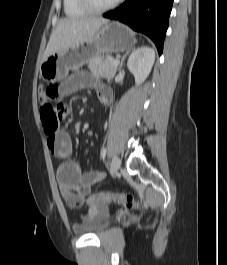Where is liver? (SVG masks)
<instances>
[{
	"label": "liver",
	"instance_id": "obj_1",
	"mask_svg": "<svg viewBox=\"0 0 227 265\" xmlns=\"http://www.w3.org/2000/svg\"><path fill=\"white\" fill-rule=\"evenodd\" d=\"M109 20L101 17H76L60 19L52 32L42 62L50 55L90 41L100 27Z\"/></svg>",
	"mask_w": 227,
	"mask_h": 265
}]
</instances>
